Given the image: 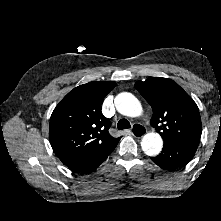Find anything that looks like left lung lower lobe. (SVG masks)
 I'll list each match as a JSON object with an SVG mask.
<instances>
[{"instance_id": "0a47b994", "label": "left lung lower lobe", "mask_w": 221, "mask_h": 221, "mask_svg": "<svg viewBox=\"0 0 221 221\" xmlns=\"http://www.w3.org/2000/svg\"><path fill=\"white\" fill-rule=\"evenodd\" d=\"M200 140H190L180 144H164L162 152L152 157V161L165 170L184 167L193 158Z\"/></svg>"}]
</instances>
